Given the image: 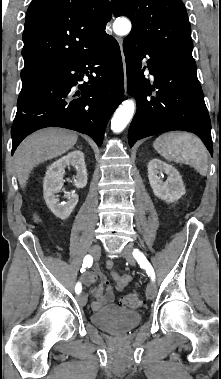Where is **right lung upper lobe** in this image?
<instances>
[{
	"label": "right lung upper lobe",
	"mask_w": 221,
	"mask_h": 379,
	"mask_svg": "<svg viewBox=\"0 0 221 379\" xmlns=\"http://www.w3.org/2000/svg\"><path fill=\"white\" fill-rule=\"evenodd\" d=\"M112 17L108 0H32L23 33L21 77L100 44Z\"/></svg>",
	"instance_id": "obj_1"
}]
</instances>
